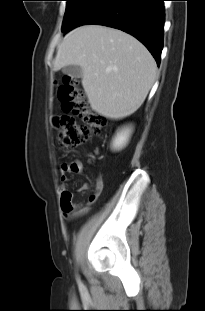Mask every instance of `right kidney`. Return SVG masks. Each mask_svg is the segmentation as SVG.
Returning a JSON list of instances; mask_svg holds the SVG:
<instances>
[{"mask_svg":"<svg viewBox=\"0 0 205 311\" xmlns=\"http://www.w3.org/2000/svg\"><path fill=\"white\" fill-rule=\"evenodd\" d=\"M132 133L131 128H124L120 130L113 139L112 149L121 150L126 146Z\"/></svg>","mask_w":205,"mask_h":311,"instance_id":"ca27d5eb","label":"right kidney"}]
</instances>
